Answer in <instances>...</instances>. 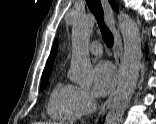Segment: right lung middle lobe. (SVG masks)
Returning <instances> with one entry per match:
<instances>
[{"label":"right lung middle lobe","mask_w":156,"mask_h":124,"mask_svg":"<svg viewBox=\"0 0 156 124\" xmlns=\"http://www.w3.org/2000/svg\"><path fill=\"white\" fill-rule=\"evenodd\" d=\"M49 75H45V76H42V83H41V88L44 89L47 85V80L46 78L48 77Z\"/></svg>","instance_id":"dd1d6c3e"}]
</instances>
